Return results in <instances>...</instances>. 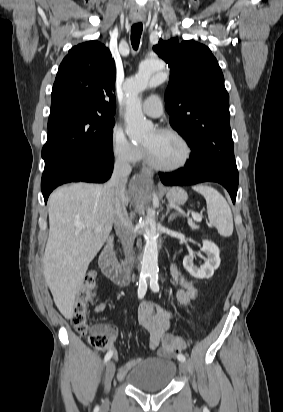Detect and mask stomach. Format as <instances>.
Returning a JSON list of instances; mask_svg holds the SVG:
<instances>
[{
  "label": "stomach",
  "mask_w": 283,
  "mask_h": 412,
  "mask_svg": "<svg viewBox=\"0 0 283 412\" xmlns=\"http://www.w3.org/2000/svg\"><path fill=\"white\" fill-rule=\"evenodd\" d=\"M166 197L170 203L181 205L187 201L188 195L184 189L172 187L167 189Z\"/></svg>",
  "instance_id": "1"
}]
</instances>
